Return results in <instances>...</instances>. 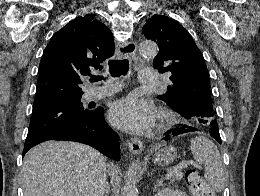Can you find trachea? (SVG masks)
<instances>
[{"label": "trachea", "instance_id": "obj_1", "mask_svg": "<svg viewBox=\"0 0 260 196\" xmlns=\"http://www.w3.org/2000/svg\"><path fill=\"white\" fill-rule=\"evenodd\" d=\"M129 70V64L128 60H110L109 61V73L114 78H117L118 76H125L128 73ZM102 79H106L100 75L97 76H91L90 80L91 82L94 81H101Z\"/></svg>", "mask_w": 260, "mask_h": 196}]
</instances>
